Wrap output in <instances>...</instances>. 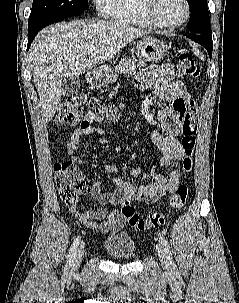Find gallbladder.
I'll return each instance as SVG.
<instances>
[{
  "mask_svg": "<svg viewBox=\"0 0 239 303\" xmlns=\"http://www.w3.org/2000/svg\"><path fill=\"white\" fill-rule=\"evenodd\" d=\"M80 88V80L78 76H68L62 86V94L64 96H72L77 93Z\"/></svg>",
  "mask_w": 239,
  "mask_h": 303,
  "instance_id": "bac80fb5",
  "label": "gallbladder"
}]
</instances>
